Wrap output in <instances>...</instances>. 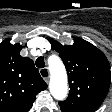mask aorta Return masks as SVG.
Segmentation results:
<instances>
[{
	"label": "aorta",
	"instance_id": "762f6f07",
	"mask_svg": "<svg viewBox=\"0 0 112 112\" xmlns=\"http://www.w3.org/2000/svg\"><path fill=\"white\" fill-rule=\"evenodd\" d=\"M49 70L51 74L49 89L51 95L57 100H63L68 94L67 73L65 67L57 56L49 58Z\"/></svg>",
	"mask_w": 112,
	"mask_h": 112
}]
</instances>
